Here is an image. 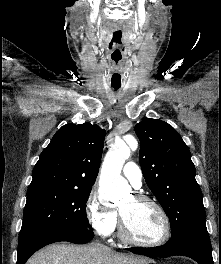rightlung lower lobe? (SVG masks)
I'll list each match as a JSON object with an SVG mask.
<instances>
[{"instance_id":"right-lung-lower-lobe-1","label":"right lung lower lobe","mask_w":221,"mask_h":264,"mask_svg":"<svg viewBox=\"0 0 221 264\" xmlns=\"http://www.w3.org/2000/svg\"><path fill=\"white\" fill-rule=\"evenodd\" d=\"M92 238V230L81 232H49L25 236L19 239L16 264H25L34 252L48 244L60 241L85 244L92 240Z\"/></svg>"}]
</instances>
